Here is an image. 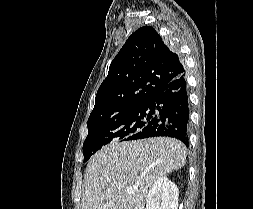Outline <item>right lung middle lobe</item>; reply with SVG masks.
<instances>
[{"label":"right lung middle lobe","instance_id":"obj_1","mask_svg":"<svg viewBox=\"0 0 253 209\" xmlns=\"http://www.w3.org/2000/svg\"><path fill=\"white\" fill-rule=\"evenodd\" d=\"M154 111L149 104L138 105L111 116L88 119V136L83 144L84 162L102 146L128 140L139 133L153 118Z\"/></svg>","mask_w":253,"mask_h":209}]
</instances>
